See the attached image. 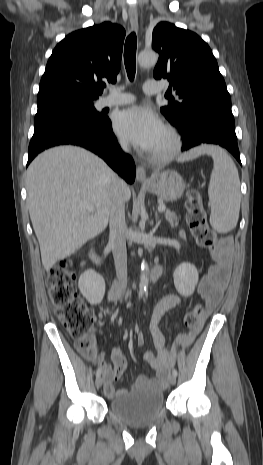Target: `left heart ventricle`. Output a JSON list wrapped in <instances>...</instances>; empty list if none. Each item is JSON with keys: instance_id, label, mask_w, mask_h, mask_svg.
<instances>
[{"instance_id": "obj_1", "label": "left heart ventricle", "mask_w": 263, "mask_h": 465, "mask_svg": "<svg viewBox=\"0 0 263 465\" xmlns=\"http://www.w3.org/2000/svg\"><path fill=\"white\" fill-rule=\"evenodd\" d=\"M169 147H170V140H169L166 132L164 131V133L162 134L159 142L157 143L156 147L154 148V150L152 152L153 153H161V152L166 151Z\"/></svg>"}]
</instances>
